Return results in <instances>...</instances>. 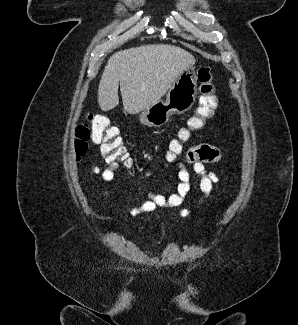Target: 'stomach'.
Listing matches in <instances>:
<instances>
[{
    "label": "stomach",
    "instance_id": "1",
    "mask_svg": "<svg viewBox=\"0 0 298 325\" xmlns=\"http://www.w3.org/2000/svg\"><path fill=\"white\" fill-rule=\"evenodd\" d=\"M198 94L195 66L183 70L169 88L165 100L155 102L142 110L139 120L146 126H162L171 114H183L192 108Z\"/></svg>",
    "mask_w": 298,
    "mask_h": 325
}]
</instances>
